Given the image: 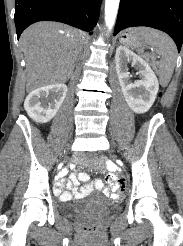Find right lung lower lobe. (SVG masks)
<instances>
[{
	"label": "right lung lower lobe",
	"mask_w": 183,
	"mask_h": 246,
	"mask_svg": "<svg viewBox=\"0 0 183 246\" xmlns=\"http://www.w3.org/2000/svg\"><path fill=\"white\" fill-rule=\"evenodd\" d=\"M102 0H15L17 38L38 21H57L92 34Z\"/></svg>",
	"instance_id": "right-lung-lower-lobe-1"
}]
</instances>
